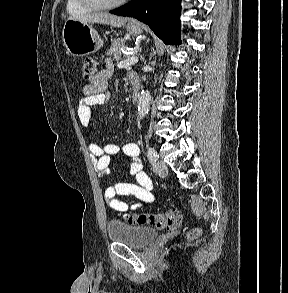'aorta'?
Instances as JSON below:
<instances>
[{"label": "aorta", "mask_w": 288, "mask_h": 293, "mask_svg": "<svg viewBox=\"0 0 288 293\" xmlns=\"http://www.w3.org/2000/svg\"><path fill=\"white\" fill-rule=\"evenodd\" d=\"M150 93L149 91L142 90L138 100L137 112L140 119H143L149 110L150 105Z\"/></svg>", "instance_id": "obj_1"}]
</instances>
